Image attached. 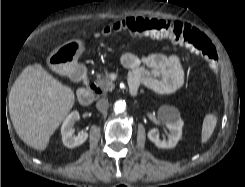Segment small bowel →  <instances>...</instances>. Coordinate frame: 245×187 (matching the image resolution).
<instances>
[{
	"label": "small bowel",
	"mask_w": 245,
	"mask_h": 187,
	"mask_svg": "<svg viewBox=\"0 0 245 187\" xmlns=\"http://www.w3.org/2000/svg\"><path fill=\"white\" fill-rule=\"evenodd\" d=\"M122 65L129 70V85L136 93L140 85L160 94L179 89L185 78V72L176 55L150 54L137 56L125 53L121 57Z\"/></svg>",
	"instance_id": "obj_1"
}]
</instances>
